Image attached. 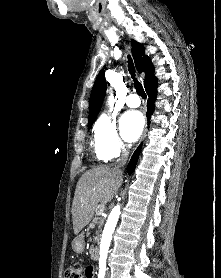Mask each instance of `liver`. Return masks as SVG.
<instances>
[{
    "instance_id": "obj_1",
    "label": "liver",
    "mask_w": 221,
    "mask_h": 278,
    "mask_svg": "<svg viewBox=\"0 0 221 278\" xmlns=\"http://www.w3.org/2000/svg\"><path fill=\"white\" fill-rule=\"evenodd\" d=\"M123 181L122 174L106 166L86 171L79 179L72 203L74 234L92 219L99 202H110Z\"/></svg>"
}]
</instances>
